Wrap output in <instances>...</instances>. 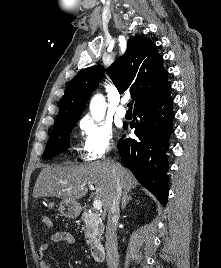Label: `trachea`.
<instances>
[{
  "mask_svg": "<svg viewBox=\"0 0 221 268\" xmlns=\"http://www.w3.org/2000/svg\"><path fill=\"white\" fill-rule=\"evenodd\" d=\"M127 106H128L129 109H132L133 101H130Z\"/></svg>",
  "mask_w": 221,
  "mask_h": 268,
  "instance_id": "3493384b",
  "label": "trachea"
}]
</instances>
